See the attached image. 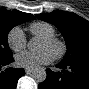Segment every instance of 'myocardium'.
Wrapping results in <instances>:
<instances>
[{
  "label": "myocardium",
  "mask_w": 89,
  "mask_h": 89,
  "mask_svg": "<svg viewBox=\"0 0 89 89\" xmlns=\"http://www.w3.org/2000/svg\"><path fill=\"white\" fill-rule=\"evenodd\" d=\"M42 40L57 48L54 54V58L61 59L64 57V55L67 52V45L62 39L52 36V37H43Z\"/></svg>",
  "instance_id": "obj_1"
}]
</instances>
